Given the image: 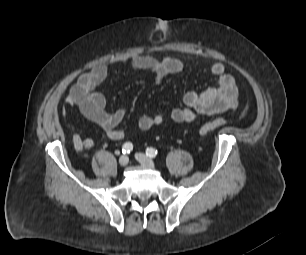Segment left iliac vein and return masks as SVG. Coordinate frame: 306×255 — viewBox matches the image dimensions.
<instances>
[{
    "label": "left iliac vein",
    "mask_w": 306,
    "mask_h": 255,
    "mask_svg": "<svg viewBox=\"0 0 306 255\" xmlns=\"http://www.w3.org/2000/svg\"><path fill=\"white\" fill-rule=\"evenodd\" d=\"M135 157L141 165L152 169L155 168L154 162L147 155L143 153H137Z\"/></svg>",
    "instance_id": "1"
}]
</instances>
